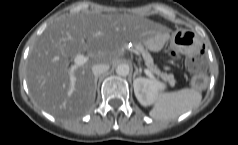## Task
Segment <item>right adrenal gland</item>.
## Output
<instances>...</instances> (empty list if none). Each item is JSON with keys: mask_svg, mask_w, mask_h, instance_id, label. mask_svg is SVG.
Listing matches in <instances>:
<instances>
[{"mask_svg": "<svg viewBox=\"0 0 238 145\" xmlns=\"http://www.w3.org/2000/svg\"><path fill=\"white\" fill-rule=\"evenodd\" d=\"M99 77H95V87L97 86V80Z\"/></svg>", "mask_w": 238, "mask_h": 145, "instance_id": "obj_1", "label": "right adrenal gland"}]
</instances>
